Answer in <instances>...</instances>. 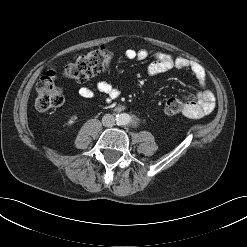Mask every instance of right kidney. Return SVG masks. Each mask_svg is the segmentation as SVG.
<instances>
[{
    "mask_svg": "<svg viewBox=\"0 0 247 247\" xmlns=\"http://www.w3.org/2000/svg\"><path fill=\"white\" fill-rule=\"evenodd\" d=\"M77 119V116H73L69 119L68 123L69 124H73L75 122V120Z\"/></svg>",
    "mask_w": 247,
    "mask_h": 247,
    "instance_id": "ca27d5eb",
    "label": "right kidney"
}]
</instances>
